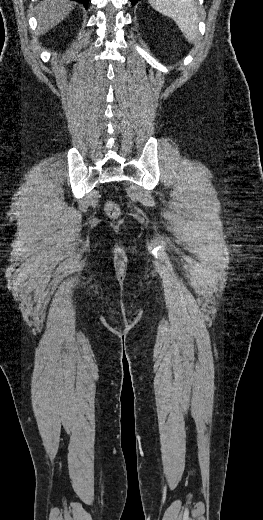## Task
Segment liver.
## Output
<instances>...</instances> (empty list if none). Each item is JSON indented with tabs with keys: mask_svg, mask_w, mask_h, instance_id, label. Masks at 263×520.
Here are the masks:
<instances>
[{
	"mask_svg": "<svg viewBox=\"0 0 263 520\" xmlns=\"http://www.w3.org/2000/svg\"><path fill=\"white\" fill-rule=\"evenodd\" d=\"M70 0H43L35 7L38 21L37 33L45 34L58 25L74 9Z\"/></svg>",
	"mask_w": 263,
	"mask_h": 520,
	"instance_id": "1",
	"label": "liver"
}]
</instances>
